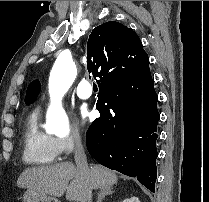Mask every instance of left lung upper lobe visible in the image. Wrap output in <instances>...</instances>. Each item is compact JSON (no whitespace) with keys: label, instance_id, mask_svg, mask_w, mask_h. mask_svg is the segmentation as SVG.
I'll use <instances>...</instances> for the list:
<instances>
[{"label":"left lung upper lobe","instance_id":"left-lung-upper-lobe-1","mask_svg":"<svg viewBox=\"0 0 209 202\" xmlns=\"http://www.w3.org/2000/svg\"><path fill=\"white\" fill-rule=\"evenodd\" d=\"M40 92V82L38 80H34L31 82L27 88L25 103L30 104L32 103Z\"/></svg>","mask_w":209,"mask_h":202}]
</instances>
